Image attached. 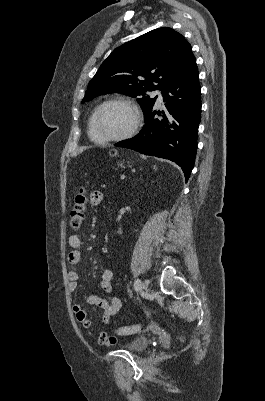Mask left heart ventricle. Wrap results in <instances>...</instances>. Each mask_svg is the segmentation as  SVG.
Wrapping results in <instances>:
<instances>
[{
  "label": "left heart ventricle",
  "instance_id": "1",
  "mask_svg": "<svg viewBox=\"0 0 265 401\" xmlns=\"http://www.w3.org/2000/svg\"><path fill=\"white\" fill-rule=\"evenodd\" d=\"M133 122L132 110L122 104L105 108L95 122L94 134L98 139H107L124 133Z\"/></svg>",
  "mask_w": 265,
  "mask_h": 401
}]
</instances>
